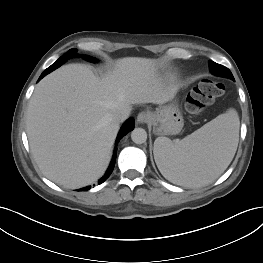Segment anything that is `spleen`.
Segmentation results:
<instances>
[{"label": "spleen", "instance_id": "1", "mask_svg": "<svg viewBox=\"0 0 263 263\" xmlns=\"http://www.w3.org/2000/svg\"><path fill=\"white\" fill-rule=\"evenodd\" d=\"M239 126L237 112L229 109L180 141L158 137L154 158L159 171L170 182L184 187L212 183L236 153Z\"/></svg>", "mask_w": 263, "mask_h": 263}]
</instances>
